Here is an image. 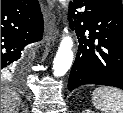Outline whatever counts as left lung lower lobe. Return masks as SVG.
<instances>
[{"mask_svg":"<svg viewBox=\"0 0 123 113\" xmlns=\"http://www.w3.org/2000/svg\"><path fill=\"white\" fill-rule=\"evenodd\" d=\"M69 21L77 35L79 48L69 76L68 89L72 91L85 84L123 89L121 0H72L69 4Z\"/></svg>","mask_w":123,"mask_h":113,"instance_id":"left-lung-lower-lobe-1","label":"left lung lower lobe"}]
</instances>
